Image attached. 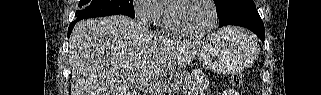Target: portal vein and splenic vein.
I'll list each match as a JSON object with an SVG mask.
<instances>
[{"instance_id": "portal-vein-and-splenic-vein-1", "label": "portal vein and splenic vein", "mask_w": 321, "mask_h": 95, "mask_svg": "<svg viewBox=\"0 0 321 95\" xmlns=\"http://www.w3.org/2000/svg\"><path fill=\"white\" fill-rule=\"evenodd\" d=\"M138 84H145L147 86H150V88H157V89H160L161 87L163 89L167 88L165 82L154 80V79L151 81V78L142 79L138 82Z\"/></svg>"}]
</instances>
